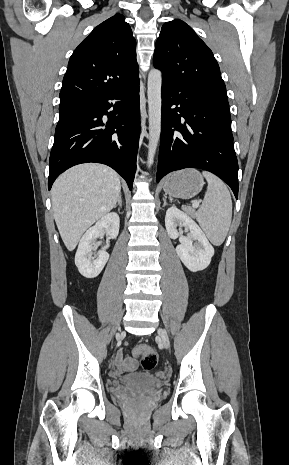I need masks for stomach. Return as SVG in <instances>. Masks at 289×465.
<instances>
[{
	"label": "stomach",
	"instance_id": "1",
	"mask_svg": "<svg viewBox=\"0 0 289 465\" xmlns=\"http://www.w3.org/2000/svg\"><path fill=\"white\" fill-rule=\"evenodd\" d=\"M204 180L196 169H183L168 175L163 182L166 194L182 199L197 195L203 188Z\"/></svg>",
	"mask_w": 289,
	"mask_h": 465
}]
</instances>
